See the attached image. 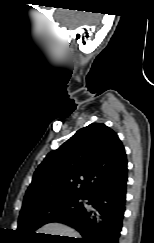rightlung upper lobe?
I'll use <instances>...</instances> for the list:
<instances>
[{
	"mask_svg": "<svg viewBox=\"0 0 154 243\" xmlns=\"http://www.w3.org/2000/svg\"><path fill=\"white\" fill-rule=\"evenodd\" d=\"M126 166L117 134L104 124L92 123L46 156L33 175L23 206L63 195L85 197Z\"/></svg>",
	"mask_w": 154,
	"mask_h": 243,
	"instance_id": "right-lung-upper-lobe-1",
	"label": "right lung upper lobe"
}]
</instances>
